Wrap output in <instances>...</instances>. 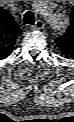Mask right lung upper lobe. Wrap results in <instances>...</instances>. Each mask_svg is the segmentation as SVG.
<instances>
[{
    "mask_svg": "<svg viewBox=\"0 0 74 122\" xmlns=\"http://www.w3.org/2000/svg\"><path fill=\"white\" fill-rule=\"evenodd\" d=\"M21 31L11 14L0 8V60L8 57Z\"/></svg>",
    "mask_w": 74,
    "mask_h": 122,
    "instance_id": "1",
    "label": "right lung upper lobe"
}]
</instances>
